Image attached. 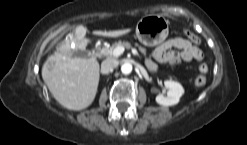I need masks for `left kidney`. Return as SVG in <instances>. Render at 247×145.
Returning a JSON list of instances; mask_svg holds the SVG:
<instances>
[{"mask_svg": "<svg viewBox=\"0 0 247 145\" xmlns=\"http://www.w3.org/2000/svg\"><path fill=\"white\" fill-rule=\"evenodd\" d=\"M164 85L168 88L167 96L159 94L156 96V102L163 106H172L176 105L182 95L184 94L183 86L175 81L166 80L164 81Z\"/></svg>", "mask_w": 247, "mask_h": 145, "instance_id": "1", "label": "left kidney"}]
</instances>
